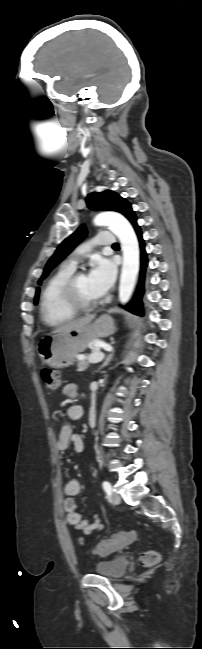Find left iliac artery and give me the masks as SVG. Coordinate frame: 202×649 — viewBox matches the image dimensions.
I'll use <instances>...</instances> for the list:
<instances>
[{
  "label": "left iliac artery",
  "mask_w": 202,
  "mask_h": 649,
  "mask_svg": "<svg viewBox=\"0 0 202 649\" xmlns=\"http://www.w3.org/2000/svg\"><path fill=\"white\" fill-rule=\"evenodd\" d=\"M102 486H103V489L105 490V492L107 493V495H108V496L111 495L112 487H111L110 483L107 482V481H104V482L102 483Z\"/></svg>",
  "instance_id": "44dca946"
}]
</instances>
